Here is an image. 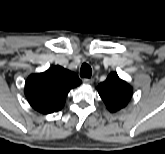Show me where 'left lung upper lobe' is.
Segmentation results:
<instances>
[{
  "label": "left lung upper lobe",
  "mask_w": 165,
  "mask_h": 154,
  "mask_svg": "<svg viewBox=\"0 0 165 154\" xmlns=\"http://www.w3.org/2000/svg\"><path fill=\"white\" fill-rule=\"evenodd\" d=\"M97 89L111 112H116L125 107L133 92L132 87L126 81L120 79L115 72L110 73L107 79L98 85Z\"/></svg>",
  "instance_id": "obj_1"
}]
</instances>
